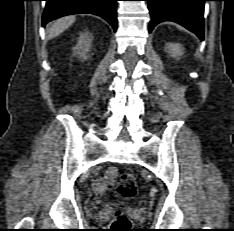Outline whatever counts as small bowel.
I'll list each match as a JSON object with an SVG mask.
<instances>
[{
    "label": "small bowel",
    "mask_w": 234,
    "mask_h": 231,
    "mask_svg": "<svg viewBox=\"0 0 234 231\" xmlns=\"http://www.w3.org/2000/svg\"><path fill=\"white\" fill-rule=\"evenodd\" d=\"M117 171L115 168H109L103 178L96 179L92 188L96 195H102L105 191L112 188Z\"/></svg>",
    "instance_id": "c3829d8e"
}]
</instances>
